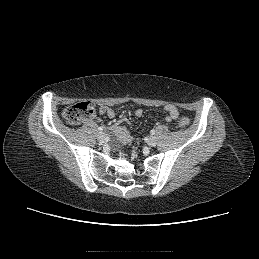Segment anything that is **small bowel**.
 <instances>
[{
    "label": "small bowel",
    "mask_w": 259,
    "mask_h": 259,
    "mask_svg": "<svg viewBox=\"0 0 259 259\" xmlns=\"http://www.w3.org/2000/svg\"><path fill=\"white\" fill-rule=\"evenodd\" d=\"M164 111L166 112V120L176 122L179 116L178 110L176 106L172 104H166L164 105ZM101 114H106L109 118L113 119L116 116V112L111 107L103 106L100 108ZM143 115L142 109H136L135 116L141 117ZM111 131L116 136V138L122 142V143H129L132 141V138L130 137L127 130H125L123 127L120 126L119 123H116L111 127Z\"/></svg>",
    "instance_id": "small-bowel-1"
}]
</instances>
